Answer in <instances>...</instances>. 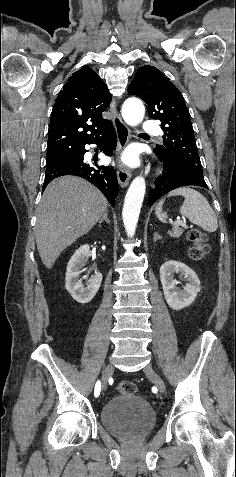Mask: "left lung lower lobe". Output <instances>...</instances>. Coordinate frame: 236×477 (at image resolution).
Here are the masks:
<instances>
[{
  "label": "left lung lower lobe",
  "instance_id": "left-lung-lower-lobe-1",
  "mask_svg": "<svg viewBox=\"0 0 236 477\" xmlns=\"http://www.w3.org/2000/svg\"><path fill=\"white\" fill-rule=\"evenodd\" d=\"M157 156L163 162V171L149 190V206H152L164 194L181 186L193 185L208 189L204 177L162 156Z\"/></svg>",
  "mask_w": 236,
  "mask_h": 477
}]
</instances>
